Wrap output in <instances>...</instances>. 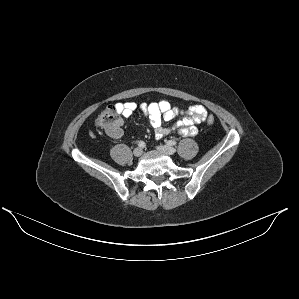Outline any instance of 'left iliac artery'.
I'll return each instance as SVG.
<instances>
[{"label":"left iliac artery","instance_id":"44dca946","mask_svg":"<svg viewBox=\"0 0 299 299\" xmlns=\"http://www.w3.org/2000/svg\"><path fill=\"white\" fill-rule=\"evenodd\" d=\"M167 144L170 145V146H174V145L177 144V142L174 141V140H169V141H167Z\"/></svg>","mask_w":299,"mask_h":299}]
</instances>
